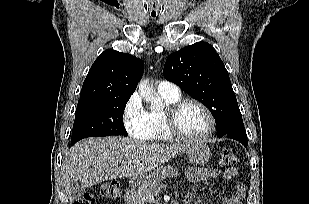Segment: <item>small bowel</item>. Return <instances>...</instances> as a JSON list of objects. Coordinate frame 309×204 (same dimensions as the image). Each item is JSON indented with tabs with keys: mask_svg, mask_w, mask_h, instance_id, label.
<instances>
[{
	"mask_svg": "<svg viewBox=\"0 0 309 204\" xmlns=\"http://www.w3.org/2000/svg\"><path fill=\"white\" fill-rule=\"evenodd\" d=\"M187 175L191 181H204L209 178H220L223 181H229L237 179L239 171L235 167L227 168L224 171L216 168H191L187 171ZM245 196L246 188L243 184H239L235 196L225 199L223 204H241Z\"/></svg>",
	"mask_w": 309,
	"mask_h": 204,
	"instance_id": "1",
	"label": "small bowel"
}]
</instances>
